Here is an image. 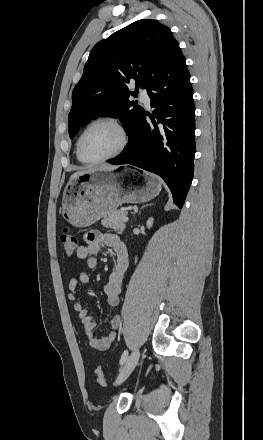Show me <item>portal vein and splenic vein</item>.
<instances>
[{"mask_svg": "<svg viewBox=\"0 0 263 440\" xmlns=\"http://www.w3.org/2000/svg\"><path fill=\"white\" fill-rule=\"evenodd\" d=\"M122 220H123V222H128V217L127 216H123Z\"/></svg>", "mask_w": 263, "mask_h": 440, "instance_id": "18ae733b", "label": "portal vein and splenic vein"}]
</instances>
